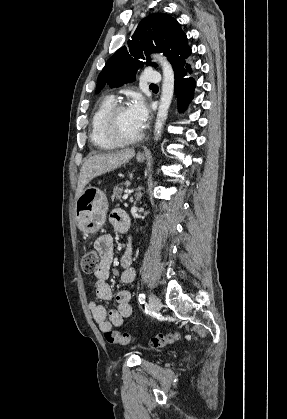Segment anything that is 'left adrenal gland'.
Returning a JSON list of instances; mask_svg holds the SVG:
<instances>
[{
	"instance_id": "left-adrenal-gland-1",
	"label": "left adrenal gland",
	"mask_w": 287,
	"mask_h": 419,
	"mask_svg": "<svg viewBox=\"0 0 287 419\" xmlns=\"http://www.w3.org/2000/svg\"><path fill=\"white\" fill-rule=\"evenodd\" d=\"M142 194H138L137 195V200H139L141 198Z\"/></svg>"
}]
</instances>
